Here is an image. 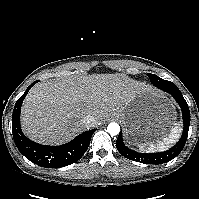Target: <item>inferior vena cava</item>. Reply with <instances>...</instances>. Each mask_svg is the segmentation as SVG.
<instances>
[{
	"label": "inferior vena cava",
	"instance_id": "1",
	"mask_svg": "<svg viewBox=\"0 0 199 199\" xmlns=\"http://www.w3.org/2000/svg\"><path fill=\"white\" fill-rule=\"evenodd\" d=\"M82 122L87 127H93L96 124V119L92 115H86Z\"/></svg>",
	"mask_w": 199,
	"mask_h": 199
}]
</instances>
